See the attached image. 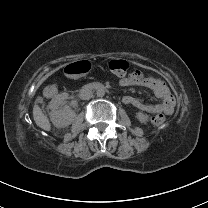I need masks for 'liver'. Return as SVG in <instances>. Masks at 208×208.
<instances>
[{
	"label": "liver",
	"instance_id": "1",
	"mask_svg": "<svg viewBox=\"0 0 208 208\" xmlns=\"http://www.w3.org/2000/svg\"><path fill=\"white\" fill-rule=\"evenodd\" d=\"M43 101L42 97H37L35 101V105L33 107V117L34 121L40 128L50 131L51 125L48 118L43 114L41 108L37 105V103H41Z\"/></svg>",
	"mask_w": 208,
	"mask_h": 208
}]
</instances>
